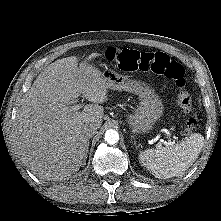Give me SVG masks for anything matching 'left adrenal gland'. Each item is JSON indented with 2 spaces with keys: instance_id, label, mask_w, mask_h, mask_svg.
Here are the masks:
<instances>
[{
  "instance_id": "a2214340",
  "label": "left adrenal gland",
  "mask_w": 221,
  "mask_h": 221,
  "mask_svg": "<svg viewBox=\"0 0 221 221\" xmlns=\"http://www.w3.org/2000/svg\"><path fill=\"white\" fill-rule=\"evenodd\" d=\"M132 139H134V136H131V141H132ZM134 144L136 145V141H134Z\"/></svg>"
}]
</instances>
